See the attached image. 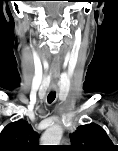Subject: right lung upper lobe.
<instances>
[{
    "mask_svg": "<svg viewBox=\"0 0 118 151\" xmlns=\"http://www.w3.org/2000/svg\"><path fill=\"white\" fill-rule=\"evenodd\" d=\"M39 135L24 120L8 124L0 134V151H35Z\"/></svg>",
    "mask_w": 118,
    "mask_h": 151,
    "instance_id": "cb5924a9",
    "label": "right lung upper lobe"
}]
</instances>
